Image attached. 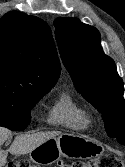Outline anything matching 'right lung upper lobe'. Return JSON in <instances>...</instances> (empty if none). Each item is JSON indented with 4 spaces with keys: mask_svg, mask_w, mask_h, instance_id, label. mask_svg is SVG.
Returning a JSON list of instances; mask_svg holds the SVG:
<instances>
[{
    "mask_svg": "<svg viewBox=\"0 0 125 167\" xmlns=\"http://www.w3.org/2000/svg\"><path fill=\"white\" fill-rule=\"evenodd\" d=\"M60 69L46 22L19 11L0 18V90L32 93L52 88Z\"/></svg>",
    "mask_w": 125,
    "mask_h": 167,
    "instance_id": "obj_1",
    "label": "right lung upper lobe"
}]
</instances>
